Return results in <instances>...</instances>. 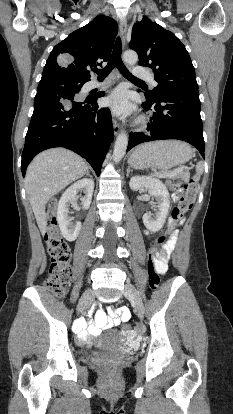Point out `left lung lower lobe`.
Here are the masks:
<instances>
[{"instance_id": "0a47b994", "label": "left lung lower lobe", "mask_w": 233, "mask_h": 414, "mask_svg": "<svg viewBox=\"0 0 233 414\" xmlns=\"http://www.w3.org/2000/svg\"><path fill=\"white\" fill-rule=\"evenodd\" d=\"M143 104L153 117L144 132H131L127 151L153 140L178 139L195 146L204 157V138L198 90L167 92Z\"/></svg>"}]
</instances>
